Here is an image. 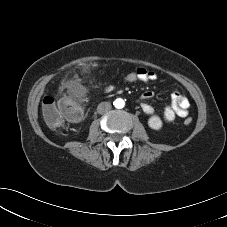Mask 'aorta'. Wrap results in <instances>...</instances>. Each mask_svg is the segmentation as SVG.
I'll return each mask as SVG.
<instances>
[{"instance_id": "1", "label": "aorta", "mask_w": 227, "mask_h": 227, "mask_svg": "<svg viewBox=\"0 0 227 227\" xmlns=\"http://www.w3.org/2000/svg\"><path fill=\"white\" fill-rule=\"evenodd\" d=\"M113 104L115 108L122 109L125 106V101L122 98H117Z\"/></svg>"}]
</instances>
